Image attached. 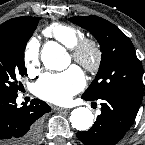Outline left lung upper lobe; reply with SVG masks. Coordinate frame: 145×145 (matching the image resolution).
<instances>
[{
    "mask_svg": "<svg viewBox=\"0 0 145 145\" xmlns=\"http://www.w3.org/2000/svg\"><path fill=\"white\" fill-rule=\"evenodd\" d=\"M70 21L86 28L102 51L99 71L83 96L92 100L121 96L141 103L142 67L131 40L115 25L97 16H76Z\"/></svg>",
    "mask_w": 145,
    "mask_h": 145,
    "instance_id": "1",
    "label": "left lung upper lobe"
}]
</instances>
